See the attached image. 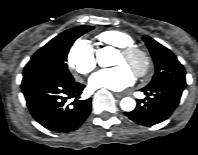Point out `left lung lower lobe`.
I'll list each match as a JSON object with an SVG mask.
<instances>
[{
	"label": "left lung lower lobe",
	"mask_w": 198,
	"mask_h": 155,
	"mask_svg": "<svg viewBox=\"0 0 198 155\" xmlns=\"http://www.w3.org/2000/svg\"><path fill=\"white\" fill-rule=\"evenodd\" d=\"M186 82H164L141 89L145 100H137V107L126 115L139 125L151 126L166 120L176 109Z\"/></svg>",
	"instance_id": "left-lung-lower-lobe-1"
}]
</instances>
